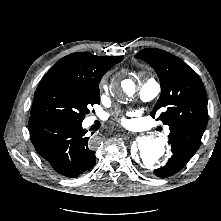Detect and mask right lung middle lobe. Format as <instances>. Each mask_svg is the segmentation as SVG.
I'll return each mask as SVG.
<instances>
[{
  "label": "right lung middle lobe",
  "instance_id": "obj_1",
  "mask_svg": "<svg viewBox=\"0 0 221 221\" xmlns=\"http://www.w3.org/2000/svg\"><path fill=\"white\" fill-rule=\"evenodd\" d=\"M100 103L99 83L87 84L62 75L42 78L31 116L83 121L89 107Z\"/></svg>",
  "mask_w": 221,
  "mask_h": 221
}]
</instances>
